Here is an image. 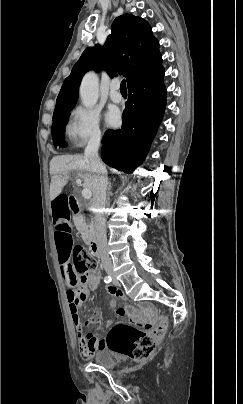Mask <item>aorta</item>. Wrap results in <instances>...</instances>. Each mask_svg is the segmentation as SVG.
Segmentation results:
<instances>
[{"label": "aorta", "mask_w": 243, "mask_h": 404, "mask_svg": "<svg viewBox=\"0 0 243 404\" xmlns=\"http://www.w3.org/2000/svg\"><path fill=\"white\" fill-rule=\"evenodd\" d=\"M81 102L85 108H93L99 98V80L94 72L84 76L80 86Z\"/></svg>", "instance_id": "1"}]
</instances>
